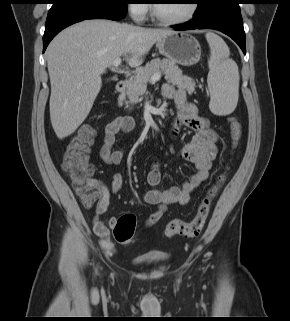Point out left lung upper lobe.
I'll use <instances>...</instances> for the list:
<instances>
[{
  "mask_svg": "<svg viewBox=\"0 0 290 321\" xmlns=\"http://www.w3.org/2000/svg\"><path fill=\"white\" fill-rule=\"evenodd\" d=\"M218 0H196L198 4L197 10L195 11L194 15L205 11L210 6L214 5Z\"/></svg>",
  "mask_w": 290,
  "mask_h": 321,
  "instance_id": "5c2ea615",
  "label": "left lung upper lobe"
}]
</instances>
